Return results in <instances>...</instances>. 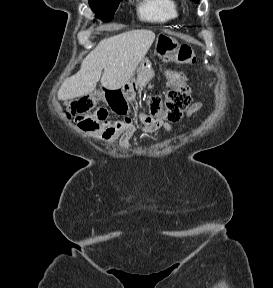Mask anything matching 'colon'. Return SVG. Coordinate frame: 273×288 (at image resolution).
<instances>
[{
	"label": "colon",
	"instance_id": "5ec220e1",
	"mask_svg": "<svg viewBox=\"0 0 273 288\" xmlns=\"http://www.w3.org/2000/svg\"><path fill=\"white\" fill-rule=\"evenodd\" d=\"M159 57L163 61L192 65L196 61L193 49L188 45L179 44L173 39L161 35L157 46ZM169 90L163 99L159 95L147 98V109L152 117L175 123L180 120L183 112L190 104V89L181 71L168 72ZM105 107L96 108V99L85 95L72 100L67 106V117L74 119L83 131H95L102 124L118 126L121 123H131L129 105L120 90H106L103 94ZM111 115L123 117L120 122L109 123Z\"/></svg>",
	"mask_w": 273,
	"mask_h": 288
}]
</instances>
